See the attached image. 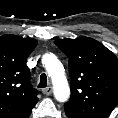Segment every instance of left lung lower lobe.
I'll return each mask as SVG.
<instances>
[{"instance_id":"left-lung-lower-lobe-1","label":"left lung lower lobe","mask_w":118,"mask_h":118,"mask_svg":"<svg viewBox=\"0 0 118 118\" xmlns=\"http://www.w3.org/2000/svg\"><path fill=\"white\" fill-rule=\"evenodd\" d=\"M68 116V118H77V117H74V116H70V115H67Z\"/></svg>"}]
</instances>
